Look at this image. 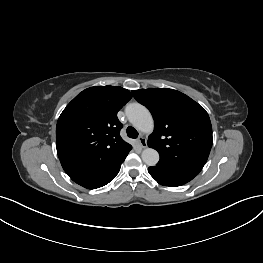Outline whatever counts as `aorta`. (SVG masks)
<instances>
[{
    "instance_id": "aorta-1",
    "label": "aorta",
    "mask_w": 263,
    "mask_h": 263,
    "mask_svg": "<svg viewBox=\"0 0 263 263\" xmlns=\"http://www.w3.org/2000/svg\"><path fill=\"white\" fill-rule=\"evenodd\" d=\"M126 114L131 124L139 131L149 133L154 128V121L149 110L139 103H133L126 107ZM141 158L148 166H155L159 161V153L153 148H146Z\"/></svg>"
}]
</instances>
